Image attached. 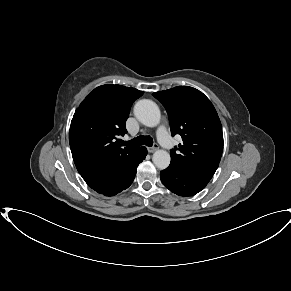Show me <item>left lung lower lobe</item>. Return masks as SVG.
<instances>
[{"label": "left lung lower lobe", "mask_w": 291, "mask_h": 291, "mask_svg": "<svg viewBox=\"0 0 291 291\" xmlns=\"http://www.w3.org/2000/svg\"><path fill=\"white\" fill-rule=\"evenodd\" d=\"M160 178L170 191L179 196L195 195L208 184L207 181L188 175L173 165L161 171Z\"/></svg>", "instance_id": "obj_1"}]
</instances>
